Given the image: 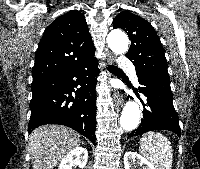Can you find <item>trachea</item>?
I'll use <instances>...</instances> for the list:
<instances>
[{
  "mask_svg": "<svg viewBox=\"0 0 200 169\" xmlns=\"http://www.w3.org/2000/svg\"><path fill=\"white\" fill-rule=\"evenodd\" d=\"M108 70L113 72V71H121V69H119L118 67L116 66H113V65H108Z\"/></svg>",
  "mask_w": 200,
  "mask_h": 169,
  "instance_id": "3493384b",
  "label": "trachea"
}]
</instances>
